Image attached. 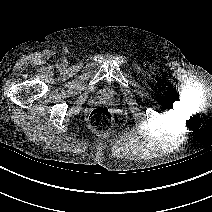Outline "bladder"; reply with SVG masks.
<instances>
[{"label":"bladder","instance_id":"obj_1","mask_svg":"<svg viewBox=\"0 0 212 212\" xmlns=\"http://www.w3.org/2000/svg\"><path fill=\"white\" fill-rule=\"evenodd\" d=\"M113 93H114L113 90H108V91H107V94H113Z\"/></svg>","mask_w":212,"mask_h":212}]
</instances>
